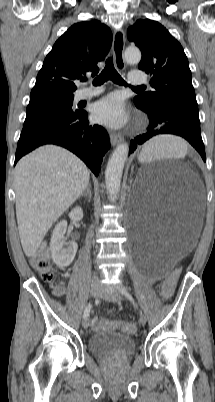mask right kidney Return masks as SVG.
I'll list each match as a JSON object with an SVG mask.
<instances>
[{"label": "right kidney", "mask_w": 215, "mask_h": 402, "mask_svg": "<svg viewBox=\"0 0 215 402\" xmlns=\"http://www.w3.org/2000/svg\"><path fill=\"white\" fill-rule=\"evenodd\" d=\"M72 220H81L83 218V210L81 207H75L69 213ZM67 230V222L60 221L53 230L50 251L53 262L59 267L69 266L76 255L78 245L75 241L66 242L64 237Z\"/></svg>", "instance_id": "right-kidney-1"}]
</instances>
